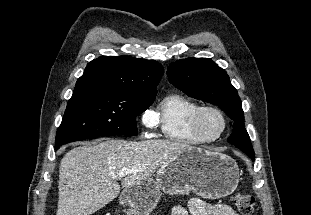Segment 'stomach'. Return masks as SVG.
I'll list each match as a JSON object with an SVG mask.
<instances>
[{"instance_id": "0dacf381", "label": "stomach", "mask_w": 311, "mask_h": 215, "mask_svg": "<svg viewBox=\"0 0 311 215\" xmlns=\"http://www.w3.org/2000/svg\"><path fill=\"white\" fill-rule=\"evenodd\" d=\"M238 182L239 168L230 156L192 147L163 164L156 179L125 189L119 201L125 215H150L161 191L169 195L194 192L218 199L232 194Z\"/></svg>"}]
</instances>
